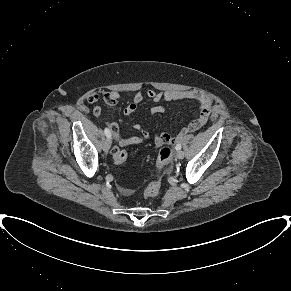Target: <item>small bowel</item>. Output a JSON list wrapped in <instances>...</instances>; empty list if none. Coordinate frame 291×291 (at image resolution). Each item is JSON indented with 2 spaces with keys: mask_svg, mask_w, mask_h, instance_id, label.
<instances>
[{
  "mask_svg": "<svg viewBox=\"0 0 291 291\" xmlns=\"http://www.w3.org/2000/svg\"><path fill=\"white\" fill-rule=\"evenodd\" d=\"M112 96L117 99L118 94L117 93H111ZM144 96H147L149 99H151L153 102L158 103L161 101L165 102H175V101H195L198 103V114L196 117L186 126L184 127L175 137L167 134V133H161L156 136L155 143L158 146L163 145H174L178 141L182 139V137L189 133L194 132L200 129L207 121V118L210 113V109L212 106V100L208 95L201 91H195V90H188V91H155L152 89H149L144 93L138 92L136 93L132 101L123 109V115L128 116L134 113L137 109L138 104L143 100ZM87 101L91 104L98 101V95L91 94ZM166 108L162 105H155L151 108L152 114H161L164 113ZM101 112L100 107H95L93 110V114L95 116H99ZM108 127L110 128L112 135L114 139L117 141L118 145L120 147L128 146V145H134L139 144L145 139L149 137L148 133L142 128L140 124H136L134 126L135 130L140 133V136H132L129 138H122L119 134V126L116 122H110L108 123ZM120 191L122 194L128 196L132 194V190L129 188L121 187Z\"/></svg>",
  "mask_w": 291,
  "mask_h": 291,
  "instance_id": "small-bowel-1",
  "label": "small bowel"
}]
</instances>
